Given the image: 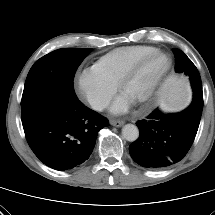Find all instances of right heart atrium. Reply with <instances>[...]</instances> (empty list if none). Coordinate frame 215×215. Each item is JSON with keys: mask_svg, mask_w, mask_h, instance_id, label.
<instances>
[{"mask_svg": "<svg viewBox=\"0 0 215 215\" xmlns=\"http://www.w3.org/2000/svg\"><path fill=\"white\" fill-rule=\"evenodd\" d=\"M74 84L78 95L96 110L106 108L117 89L116 84L94 67L79 71L75 76Z\"/></svg>", "mask_w": 215, "mask_h": 215, "instance_id": "right-heart-atrium-1", "label": "right heart atrium"}]
</instances>
